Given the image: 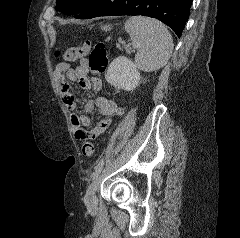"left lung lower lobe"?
<instances>
[{
  "mask_svg": "<svg viewBox=\"0 0 240 238\" xmlns=\"http://www.w3.org/2000/svg\"><path fill=\"white\" fill-rule=\"evenodd\" d=\"M192 0H91L75 18L142 15L156 18L181 37L189 18Z\"/></svg>",
  "mask_w": 240,
  "mask_h": 238,
  "instance_id": "obj_1",
  "label": "left lung lower lobe"
}]
</instances>
